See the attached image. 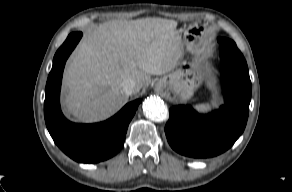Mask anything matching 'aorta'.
<instances>
[{
	"label": "aorta",
	"mask_w": 292,
	"mask_h": 192,
	"mask_svg": "<svg viewBox=\"0 0 292 192\" xmlns=\"http://www.w3.org/2000/svg\"><path fill=\"white\" fill-rule=\"evenodd\" d=\"M142 108L146 116L157 122L164 121L168 116L163 100L155 96L146 98Z\"/></svg>",
	"instance_id": "1"
}]
</instances>
